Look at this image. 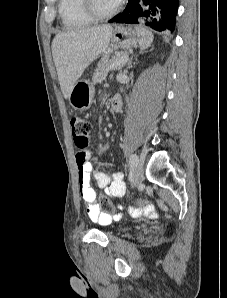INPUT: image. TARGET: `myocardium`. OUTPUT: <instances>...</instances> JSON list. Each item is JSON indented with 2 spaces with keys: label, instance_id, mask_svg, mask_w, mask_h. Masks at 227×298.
Here are the masks:
<instances>
[{
  "label": "myocardium",
  "instance_id": "f54148a6",
  "mask_svg": "<svg viewBox=\"0 0 227 298\" xmlns=\"http://www.w3.org/2000/svg\"><path fill=\"white\" fill-rule=\"evenodd\" d=\"M82 1H83V8L86 14L93 21H103V20L110 19L113 16H115L121 8V1H119L111 11L107 13H99L94 7L93 0H82Z\"/></svg>",
  "mask_w": 227,
  "mask_h": 298
}]
</instances>
